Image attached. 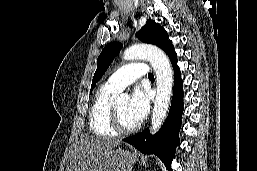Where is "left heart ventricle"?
I'll use <instances>...</instances> for the list:
<instances>
[{
	"label": "left heart ventricle",
	"instance_id": "left-heart-ventricle-1",
	"mask_svg": "<svg viewBox=\"0 0 257 171\" xmlns=\"http://www.w3.org/2000/svg\"><path fill=\"white\" fill-rule=\"evenodd\" d=\"M115 107L118 111V114L120 116L122 123L125 126L130 127V126L137 124V122L129 114V103L128 102L116 104Z\"/></svg>",
	"mask_w": 257,
	"mask_h": 171
}]
</instances>
